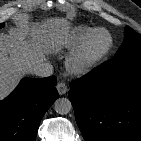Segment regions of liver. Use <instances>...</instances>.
I'll return each mask as SVG.
<instances>
[{
    "mask_svg": "<svg viewBox=\"0 0 141 141\" xmlns=\"http://www.w3.org/2000/svg\"><path fill=\"white\" fill-rule=\"evenodd\" d=\"M70 23L61 17L34 22L21 18L17 28L0 34V100L8 96L20 78L33 73L45 54L59 52L70 42Z\"/></svg>",
    "mask_w": 141,
    "mask_h": 141,
    "instance_id": "obj_1",
    "label": "liver"
}]
</instances>
